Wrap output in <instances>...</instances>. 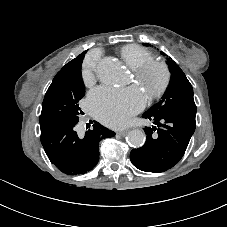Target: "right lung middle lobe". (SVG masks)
I'll list each match as a JSON object with an SVG mask.
<instances>
[{
    "label": "right lung middle lobe",
    "mask_w": 227,
    "mask_h": 227,
    "mask_svg": "<svg viewBox=\"0 0 227 227\" xmlns=\"http://www.w3.org/2000/svg\"><path fill=\"white\" fill-rule=\"evenodd\" d=\"M82 60L73 68L58 72L54 77L42 104L41 132L58 123L78 122L79 115L82 114L78 102L85 94L81 77Z\"/></svg>",
    "instance_id": "obj_1"
}]
</instances>
